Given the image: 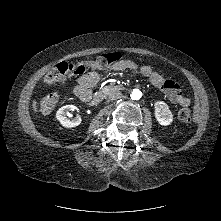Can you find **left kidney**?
<instances>
[{"label":"left kidney","mask_w":221,"mask_h":221,"mask_svg":"<svg viewBox=\"0 0 221 221\" xmlns=\"http://www.w3.org/2000/svg\"><path fill=\"white\" fill-rule=\"evenodd\" d=\"M155 106V118L160 125L168 126L173 121V115L169 110V106L163 101H157Z\"/></svg>","instance_id":"obj_1"}]
</instances>
